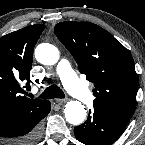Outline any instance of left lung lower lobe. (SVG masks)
<instances>
[{
  "mask_svg": "<svg viewBox=\"0 0 145 145\" xmlns=\"http://www.w3.org/2000/svg\"><path fill=\"white\" fill-rule=\"evenodd\" d=\"M126 124L89 110L85 123L75 127L76 138L86 145H109L124 132Z\"/></svg>",
  "mask_w": 145,
  "mask_h": 145,
  "instance_id": "obj_1",
  "label": "left lung lower lobe"
}]
</instances>
